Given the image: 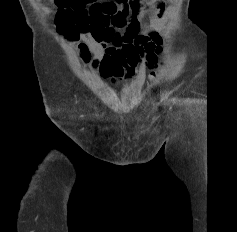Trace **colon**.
<instances>
[{
  "mask_svg": "<svg viewBox=\"0 0 237 232\" xmlns=\"http://www.w3.org/2000/svg\"><path fill=\"white\" fill-rule=\"evenodd\" d=\"M146 0H52L57 8L55 24L67 36L100 33L110 18L125 17L141 7ZM152 78H157L153 73Z\"/></svg>",
  "mask_w": 237,
  "mask_h": 232,
  "instance_id": "obj_1",
  "label": "colon"
}]
</instances>
